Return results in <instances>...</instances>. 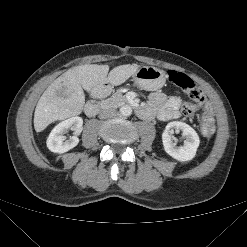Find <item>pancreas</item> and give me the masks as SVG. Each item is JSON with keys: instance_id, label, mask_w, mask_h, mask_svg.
Instances as JSON below:
<instances>
[{"instance_id": "1", "label": "pancreas", "mask_w": 247, "mask_h": 247, "mask_svg": "<svg viewBox=\"0 0 247 247\" xmlns=\"http://www.w3.org/2000/svg\"><path fill=\"white\" fill-rule=\"evenodd\" d=\"M127 101L126 97L124 95H122L121 93H116L114 96H112L111 98H108L106 100H103L101 102V106L102 107H119L123 104H125Z\"/></svg>"}]
</instances>
